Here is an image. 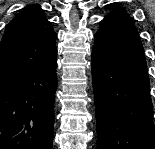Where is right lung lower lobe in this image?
I'll use <instances>...</instances> for the list:
<instances>
[{
  "label": "right lung lower lobe",
  "mask_w": 155,
  "mask_h": 149,
  "mask_svg": "<svg viewBox=\"0 0 155 149\" xmlns=\"http://www.w3.org/2000/svg\"><path fill=\"white\" fill-rule=\"evenodd\" d=\"M56 56L0 78V149H51Z\"/></svg>",
  "instance_id": "obj_1"
}]
</instances>
